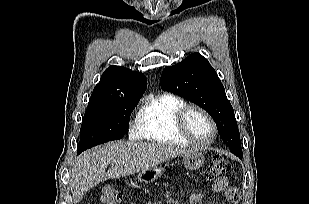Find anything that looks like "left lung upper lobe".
I'll return each instance as SVG.
<instances>
[{"instance_id": "5c2ea615", "label": "left lung upper lobe", "mask_w": 309, "mask_h": 204, "mask_svg": "<svg viewBox=\"0 0 309 204\" xmlns=\"http://www.w3.org/2000/svg\"><path fill=\"white\" fill-rule=\"evenodd\" d=\"M161 88L206 110L214 119L223 142L232 153L242 157L234 110L216 71L206 58L193 53L182 62L165 67L161 75Z\"/></svg>"}]
</instances>
